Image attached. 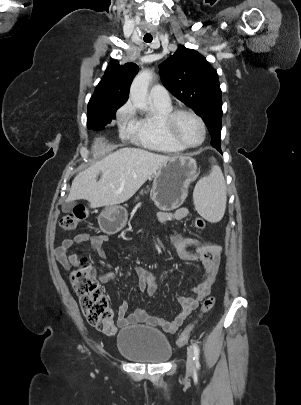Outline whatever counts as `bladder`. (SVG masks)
I'll return each mask as SVG.
<instances>
[{
  "label": "bladder",
  "instance_id": "31cf9c89",
  "mask_svg": "<svg viewBox=\"0 0 301 405\" xmlns=\"http://www.w3.org/2000/svg\"><path fill=\"white\" fill-rule=\"evenodd\" d=\"M117 349L130 360L150 364L164 363L172 355L167 337L159 330L147 326H130L120 330Z\"/></svg>",
  "mask_w": 301,
  "mask_h": 405
}]
</instances>
